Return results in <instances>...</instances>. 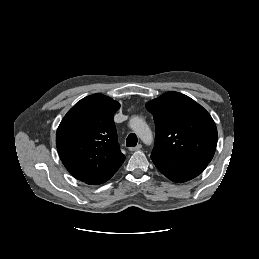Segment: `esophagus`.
Wrapping results in <instances>:
<instances>
[{"label": "esophagus", "instance_id": "34e87169", "mask_svg": "<svg viewBox=\"0 0 259 259\" xmlns=\"http://www.w3.org/2000/svg\"><path fill=\"white\" fill-rule=\"evenodd\" d=\"M141 148H142V145H141V144H138V145L135 146V147H130L129 150L133 152V151L140 150Z\"/></svg>", "mask_w": 259, "mask_h": 259}]
</instances>
